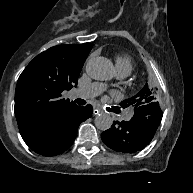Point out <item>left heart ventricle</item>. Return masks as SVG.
<instances>
[{
	"label": "left heart ventricle",
	"mask_w": 193,
	"mask_h": 193,
	"mask_svg": "<svg viewBox=\"0 0 193 193\" xmlns=\"http://www.w3.org/2000/svg\"><path fill=\"white\" fill-rule=\"evenodd\" d=\"M115 81H116L115 78L107 79V80L102 82V85L105 88L112 87L114 85Z\"/></svg>",
	"instance_id": "b2bd125f"
}]
</instances>
